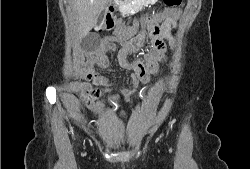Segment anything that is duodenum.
Instances as JSON below:
<instances>
[{
  "mask_svg": "<svg viewBox=\"0 0 250 169\" xmlns=\"http://www.w3.org/2000/svg\"><path fill=\"white\" fill-rule=\"evenodd\" d=\"M110 87H111V84H110L109 88H107V90L110 89Z\"/></svg>",
  "mask_w": 250,
  "mask_h": 169,
  "instance_id": "obj_1",
  "label": "duodenum"
}]
</instances>
